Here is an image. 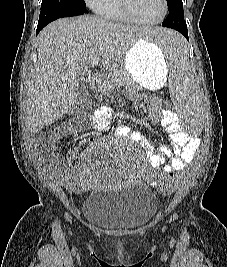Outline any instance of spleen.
I'll return each instance as SVG.
<instances>
[{
  "label": "spleen",
  "mask_w": 227,
  "mask_h": 267,
  "mask_svg": "<svg viewBox=\"0 0 227 267\" xmlns=\"http://www.w3.org/2000/svg\"><path fill=\"white\" fill-rule=\"evenodd\" d=\"M139 30H152L144 40L157 43L161 55H166V63H170L168 82L172 100L179 107L176 115H202V106H194L200 105L198 88L189 73L188 50L181 33H175V29H165L164 25H139ZM181 125L189 137L204 134L202 116H181Z\"/></svg>",
  "instance_id": "obj_1"
}]
</instances>
